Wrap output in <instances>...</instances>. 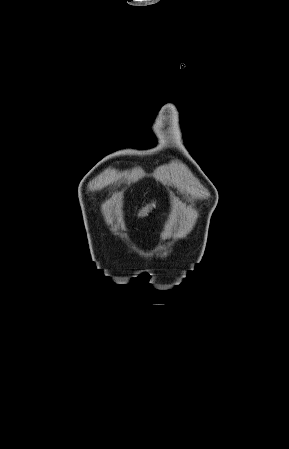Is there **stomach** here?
Wrapping results in <instances>:
<instances>
[{
    "mask_svg": "<svg viewBox=\"0 0 289 449\" xmlns=\"http://www.w3.org/2000/svg\"><path fill=\"white\" fill-rule=\"evenodd\" d=\"M152 207H155V203L149 204L146 207H144L143 209H141L138 213V216L144 217V216L148 215L150 210H152Z\"/></svg>",
    "mask_w": 289,
    "mask_h": 449,
    "instance_id": "0dacf381",
    "label": "stomach"
}]
</instances>
